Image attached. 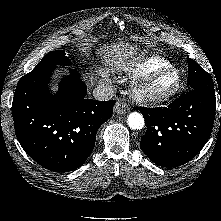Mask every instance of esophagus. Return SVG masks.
I'll return each instance as SVG.
<instances>
[{
	"mask_svg": "<svg viewBox=\"0 0 221 221\" xmlns=\"http://www.w3.org/2000/svg\"><path fill=\"white\" fill-rule=\"evenodd\" d=\"M130 108L125 101H118L114 107V112L117 114H125L129 112Z\"/></svg>",
	"mask_w": 221,
	"mask_h": 221,
	"instance_id": "esophagus-1",
	"label": "esophagus"
}]
</instances>
